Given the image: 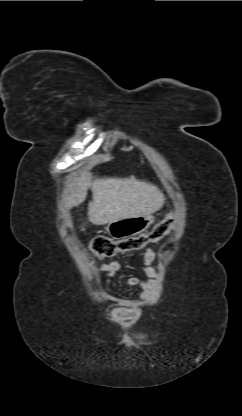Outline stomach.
I'll list each match as a JSON object with an SVG mask.
<instances>
[{"label": "stomach", "instance_id": "stomach-1", "mask_svg": "<svg viewBox=\"0 0 242 416\" xmlns=\"http://www.w3.org/2000/svg\"><path fill=\"white\" fill-rule=\"evenodd\" d=\"M153 223L151 215L128 217L108 223L106 231L114 239H125L146 231Z\"/></svg>", "mask_w": 242, "mask_h": 416}]
</instances>
